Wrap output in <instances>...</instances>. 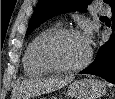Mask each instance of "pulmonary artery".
Returning <instances> with one entry per match:
<instances>
[{
  "label": "pulmonary artery",
  "instance_id": "pulmonary-artery-1",
  "mask_svg": "<svg viewBox=\"0 0 115 99\" xmlns=\"http://www.w3.org/2000/svg\"><path fill=\"white\" fill-rule=\"evenodd\" d=\"M97 11L100 13V14H109L110 13V9L108 7H105V6H102V5H99L97 7Z\"/></svg>",
  "mask_w": 115,
  "mask_h": 99
}]
</instances>
